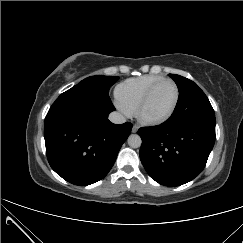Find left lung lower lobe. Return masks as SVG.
Listing matches in <instances>:
<instances>
[{
  "mask_svg": "<svg viewBox=\"0 0 243 243\" xmlns=\"http://www.w3.org/2000/svg\"><path fill=\"white\" fill-rule=\"evenodd\" d=\"M140 159L149 176L161 185L180 186L204 169L215 142V123L171 117L140 128Z\"/></svg>",
  "mask_w": 243,
  "mask_h": 243,
  "instance_id": "0a47b994",
  "label": "left lung lower lobe"
}]
</instances>
